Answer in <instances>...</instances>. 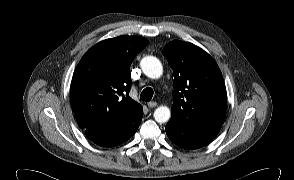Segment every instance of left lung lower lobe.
Listing matches in <instances>:
<instances>
[{
    "label": "left lung lower lobe",
    "mask_w": 294,
    "mask_h": 180,
    "mask_svg": "<svg viewBox=\"0 0 294 180\" xmlns=\"http://www.w3.org/2000/svg\"><path fill=\"white\" fill-rule=\"evenodd\" d=\"M221 126L192 127L171 118L165 130L169 139L184 149H197L209 144Z\"/></svg>",
    "instance_id": "obj_1"
}]
</instances>
